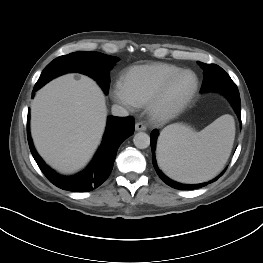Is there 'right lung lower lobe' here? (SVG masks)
Segmentation results:
<instances>
[{
    "instance_id": "98d812e1",
    "label": "right lung lower lobe",
    "mask_w": 263,
    "mask_h": 263,
    "mask_svg": "<svg viewBox=\"0 0 263 263\" xmlns=\"http://www.w3.org/2000/svg\"><path fill=\"white\" fill-rule=\"evenodd\" d=\"M40 85H35L34 92ZM135 122L132 117H108L107 128L103 141L89 166L73 176H61L48 167L36 152L29 130V110L27 118V135L31 153L43 174L55 186L67 190L86 192L100 186L110 175L117 150L120 144L134 133Z\"/></svg>"
}]
</instances>
